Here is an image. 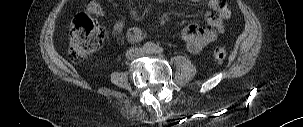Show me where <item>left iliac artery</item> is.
Returning a JSON list of instances; mask_svg holds the SVG:
<instances>
[{"instance_id": "1", "label": "left iliac artery", "mask_w": 303, "mask_h": 127, "mask_svg": "<svg viewBox=\"0 0 303 127\" xmlns=\"http://www.w3.org/2000/svg\"><path fill=\"white\" fill-rule=\"evenodd\" d=\"M146 51L150 54L156 53V54H162L164 52V49L160 47L159 45H156L152 42H148L145 44Z\"/></svg>"}]
</instances>
